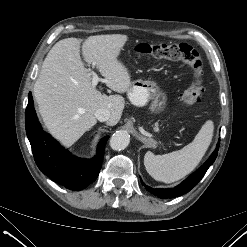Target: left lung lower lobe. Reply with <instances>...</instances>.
<instances>
[{"label": "left lung lower lobe", "instance_id": "obj_1", "mask_svg": "<svg viewBox=\"0 0 247 247\" xmlns=\"http://www.w3.org/2000/svg\"><path fill=\"white\" fill-rule=\"evenodd\" d=\"M219 144H220V140L217 143L215 151L212 153L209 159L204 163V165L201 166L196 172L191 174L187 179H185L181 184H179L175 188L155 189L146 186L143 183V181H141L143 186H145L147 191L153 193L154 195L162 199L175 198L189 192L203 178L208 168L215 161L218 154Z\"/></svg>", "mask_w": 247, "mask_h": 247}]
</instances>
